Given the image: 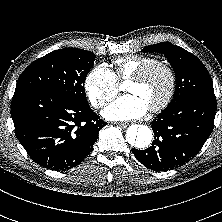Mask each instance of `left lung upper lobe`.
I'll return each instance as SVG.
<instances>
[{
  "label": "left lung upper lobe",
  "instance_id": "1",
  "mask_svg": "<svg viewBox=\"0 0 222 222\" xmlns=\"http://www.w3.org/2000/svg\"><path fill=\"white\" fill-rule=\"evenodd\" d=\"M142 51L164 54L175 71L176 88L173 99L167 108L193 97L215 100L211 76L196 56L170 42L149 45L144 47Z\"/></svg>",
  "mask_w": 222,
  "mask_h": 222
}]
</instances>
